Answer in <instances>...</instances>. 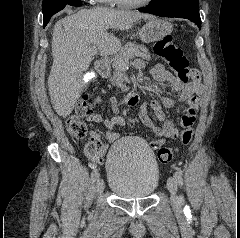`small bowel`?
<instances>
[{"label":"small bowel","mask_w":240,"mask_h":238,"mask_svg":"<svg viewBox=\"0 0 240 238\" xmlns=\"http://www.w3.org/2000/svg\"><path fill=\"white\" fill-rule=\"evenodd\" d=\"M144 63L142 61H136L135 67L138 69L143 68ZM153 80L158 84H169L175 91L179 93L178 100L163 97L159 101L152 100L149 104L142 103L139 107V117L142 123L157 136V139L151 142V147L156 149L160 147L166 139L176 138L178 136V130L171 122L167 119L163 108H178L181 102H186L187 107L185 114L181 119V126L187 127L192 126L195 123L198 105L199 95L202 93L201 77L200 73L192 69L191 81L188 83L181 82L173 74H171L162 64H157L150 71ZM104 91L97 96L96 101L98 103L102 100ZM109 103L112 111L116 114L112 118H108L102 114H89L87 120L93 123H102L106 128V141L104 146L101 148V153L98 155V161L100 166L104 165L103 159L105 154L108 153V147L110 143L117 141L120 138L117 127L124 125V119L119 115L120 104L115 97L109 99ZM149 108L153 110L154 114H151ZM162 122V126H158L155 120ZM97 135V133H92Z\"/></svg>","instance_id":"c3829d8e"}]
</instances>
